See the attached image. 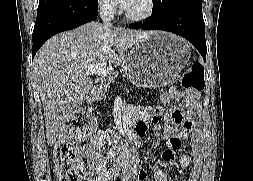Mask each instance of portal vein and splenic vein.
<instances>
[{"mask_svg": "<svg viewBox=\"0 0 253 181\" xmlns=\"http://www.w3.org/2000/svg\"><path fill=\"white\" fill-rule=\"evenodd\" d=\"M106 61H100L97 64L88 65L85 69V75H98L101 78L107 79L110 76V72L106 67Z\"/></svg>", "mask_w": 253, "mask_h": 181, "instance_id": "obj_1", "label": "portal vein and splenic vein"}]
</instances>
